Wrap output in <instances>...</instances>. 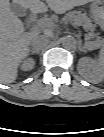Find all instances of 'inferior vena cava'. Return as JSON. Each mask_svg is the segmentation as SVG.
Returning <instances> with one entry per match:
<instances>
[{
    "mask_svg": "<svg viewBox=\"0 0 104 137\" xmlns=\"http://www.w3.org/2000/svg\"><path fill=\"white\" fill-rule=\"evenodd\" d=\"M48 39L44 35L36 36L31 41L34 50L39 51L46 47Z\"/></svg>",
    "mask_w": 104,
    "mask_h": 137,
    "instance_id": "602c4592",
    "label": "inferior vena cava"
}]
</instances>
